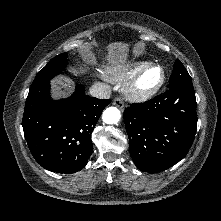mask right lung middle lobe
Here are the masks:
<instances>
[{
    "mask_svg": "<svg viewBox=\"0 0 221 221\" xmlns=\"http://www.w3.org/2000/svg\"><path fill=\"white\" fill-rule=\"evenodd\" d=\"M66 63H67L66 53H62L52 58L47 63V65L37 74L32 86L63 71Z\"/></svg>",
    "mask_w": 221,
    "mask_h": 221,
    "instance_id": "obj_1",
    "label": "right lung middle lobe"
}]
</instances>
